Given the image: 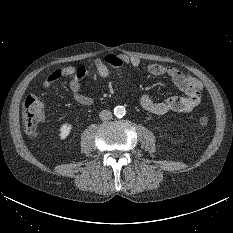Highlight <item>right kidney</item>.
Instances as JSON below:
<instances>
[{
	"instance_id": "obj_1",
	"label": "right kidney",
	"mask_w": 233,
	"mask_h": 233,
	"mask_svg": "<svg viewBox=\"0 0 233 233\" xmlns=\"http://www.w3.org/2000/svg\"><path fill=\"white\" fill-rule=\"evenodd\" d=\"M72 130V125L69 123H64L59 129V137L60 139H65L70 134Z\"/></svg>"
}]
</instances>
